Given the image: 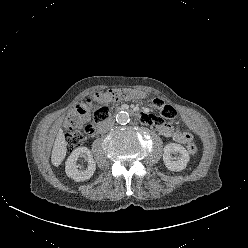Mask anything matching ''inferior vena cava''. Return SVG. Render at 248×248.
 <instances>
[{
	"label": "inferior vena cava",
	"instance_id": "602c4592",
	"mask_svg": "<svg viewBox=\"0 0 248 248\" xmlns=\"http://www.w3.org/2000/svg\"><path fill=\"white\" fill-rule=\"evenodd\" d=\"M114 119L112 118H108L102 122H100L99 124V129L101 132H106L107 130H109L110 128H112L114 126Z\"/></svg>",
	"mask_w": 248,
	"mask_h": 248
}]
</instances>
